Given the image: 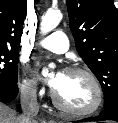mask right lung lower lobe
<instances>
[{"label": "right lung lower lobe", "mask_w": 118, "mask_h": 123, "mask_svg": "<svg viewBox=\"0 0 118 123\" xmlns=\"http://www.w3.org/2000/svg\"><path fill=\"white\" fill-rule=\"evenodd\" d=\"M18 95V85L0 84V101L3 103L11 102Z\"/></svg>", "instance_id": "98d812e1"}]
</instances>
